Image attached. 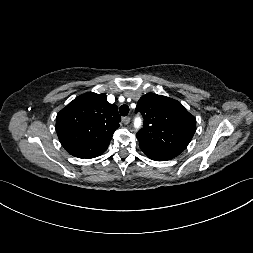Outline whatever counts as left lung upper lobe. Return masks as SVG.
Listing matches in <instances>:
<instances>
[{
    "label": "left lung upper lobe",
    "instance_id": "obj_1",
    "mask_svg": "<svg viewBox=\"0 0 253 253\" xmlns=\"http://www.w3.org/2000/svg\"><path fill=\"white\" fill-rule=\"evenodd\" d=\"M137 111L144 118L143 128L137 133L141 149L177 156L195 133V117L175 99L148 93L139 99Z\"/></svg>",
    "mask_w": 253,
    "mask_h": 253
}]
</instances>
